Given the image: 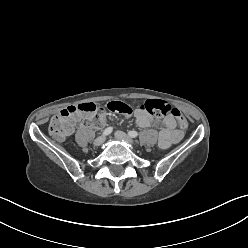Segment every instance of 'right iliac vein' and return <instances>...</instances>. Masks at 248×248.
Segmentation results:
<instances>
[{"mask_svg":"<svg viewBox=\"0 0 248 248\" xmlns=\"http://www.w3.org/2000/svg\"><path fill=\"white\" fill-rule=\"evenodd\" d=\"M105 141V137L104 136H101V137H98L94 140V145L95 146H101Z\"/></svg>","mask_w":248,"mask_h":248,"instance_id":"63e3f726","label":"right iliac vein"}]
</instances>
